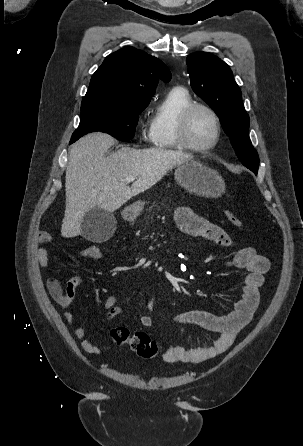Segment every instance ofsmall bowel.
Here are the masks:
<instances>
[{
	"label": "small bowel",
	"mask_w": 303,
	"mask_h": 446,
	"mask_svg": "<svg viewBox=\"0 0 303 446\" xmlns=\"http://www.w3.org/2000/svg\"><path fill=\"white\" fill-rule=\"evenodd\" d=\"M175 221L181 232L194 237L210 240L224 247H232L230 236L218 225L195 214L187 207L176 210ZM52 237L48 232H41L38 236L40 244H48ZM41 267L49 265L48 252L45 247H39L36 253ZM228 264L247 272L244 278L242 293L235 303L234 309L225 315H215L207 311H186L176 316V321L183 325L199 327L209 332L216 333L211 343L205 347L185 348L179 345L169 346L163 353V359L172 363L198 364L208 361L226 351L240 331L251 321L259 303V288L264 282V275L269 270V260L256 252L252 247H243L235 251ZM84 281L83 274H77L70 278L63 287L56 278L49 277L46 285L51 297L64 312V319L72 327L74 336L81 340L80 347L87 353H102L108 348L99 346L85 339L86 330L82 326L74 325V315L68 310L71 305L77 287ZM117 298L109 296L105 303L106 318L112 320L122 313V309L116 305ZM155 302L150 298L146 313L140 318L144 327L152 325V312Z\"/></svg>",
	"instance_id": "c3829d8e"
}]
</instances>
